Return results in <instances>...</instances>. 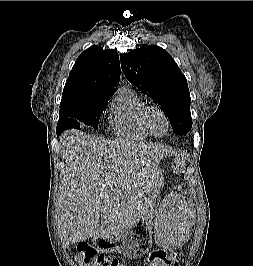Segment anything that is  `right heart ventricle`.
I'll return each mask as SVG.
<instances>
[{
  "label": "right heart ventricle",
  "instance_id": "obj_1",
  "mask_svg": "<svg viewBox=\"0 0 253 266\" xmlns=\"http://www.w3.org/2000/svg\"><path fill=\"white\" fill-rule=\"evenodd\" d=\"M146 106L134 90L124 87L111 105L109 122L114 130L124 137L147 139L151 135L143 123Z\"/></svg>",
  "mask_w": 253,
  "mask_h": 266
}]
</instances>
